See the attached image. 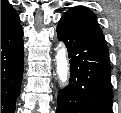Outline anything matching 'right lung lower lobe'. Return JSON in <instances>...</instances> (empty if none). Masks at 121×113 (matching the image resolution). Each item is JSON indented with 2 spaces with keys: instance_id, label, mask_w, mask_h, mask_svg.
Returning <instances> with one entry per match:
<instances>
[{
  "instance_id": "98d812e1",
  "label": "right lung lower lobe",
  "mask_w": 121,
  "mask_h": 113,
  "mask_svg": "<svg viewBox=\"0 0 121 113\" xmlns=\"http://www.w3.org/2000/svg\"><path fill=\"white\" fill-rule=\"evenodd\" d=\"M23 67V31L19 24L1 35V113L15 111Z\"/></svg>"
}]
</instances>
